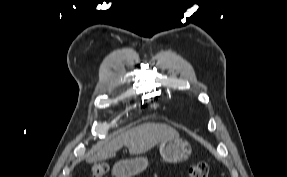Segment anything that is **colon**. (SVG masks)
<instances>
[{
    "label": "colon",
    "instance_id": "1",
    "mask_svg": "<svg viewBox=\"0 0 287 177\" xmlns=\"http://www.w3.org/2000/svg\"><path fill=\"white\" fill-rule=\"evenodd\" d=\"M109 169L107 163H97L91 168L92 177H104ZM208 163L201 161L193 164L189 168V177H208L209 176Z\"/></svg>",
    "mask_w": 287,
    "mask_h": 177
}]
</instances>
